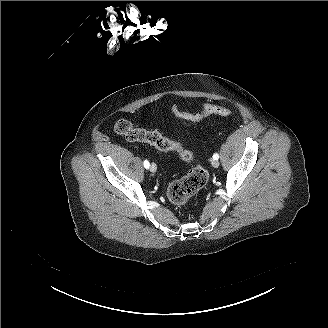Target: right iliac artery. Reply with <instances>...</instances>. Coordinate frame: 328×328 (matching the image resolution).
Instances as JSON below:
<instances>
[{
  "instance_id": "82829eb1",
  "label": "right iliac artery",
  "mask_w": 328,
  "mask_h": 328,
  "mask_svg": "<svg viewBox=\"0 0 328 328\" xmlns=\"http://www.w3.org/2000/svg\"><path fill=\"white\" fill-rule=\"evenodd\" d=\"M150 166L149 162L147 160L144 161V167L148 169Z\"/></svg>"
}]
</instances>
